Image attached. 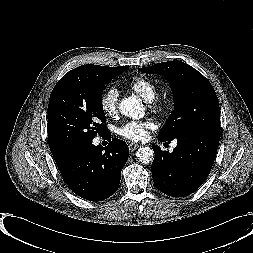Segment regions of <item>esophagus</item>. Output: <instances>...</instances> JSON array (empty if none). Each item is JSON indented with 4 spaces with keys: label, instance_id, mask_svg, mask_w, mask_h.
Instances as JSON below:
<instances>
[{
    "label": "esophagus",
    "instance_id": "34e87169",
    "mask_svg": "<svg viewBox=\"0 0 253 253\" xmlns=\"http://www.w3.org/2000/svg\"><path fill=\"white\" fill-rule=\"evenodd\" d=\"M138 147H139L138 144H135V143H130V144H129V150H130L131 152L135 151Z\"/></svg>",
    "mask_w": 253,
    "mask_h": 253
}]
</instances>
